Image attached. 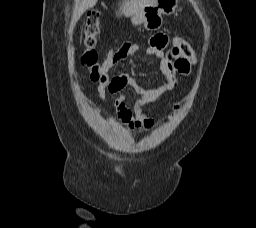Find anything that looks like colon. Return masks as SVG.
Returning a JSON list of instances; mask_svg holds the SVG:
<instances>
[{
	"instance_id": "obj_1",
	"label": "colon",
	"mask_w": 256,
	"mask_h": 228,
	"mask_svg": "<svg viewBox=\"0 0 256 228\" xmlns=\"http://www.w3.org/2000/svg\"><path fill=\"white\" fill-rule=\"evenodd\" d=\"M101 31V21L97 12L88 14L83 30L84 51L81 56V63L87 68L92 80H99L103 75V65L99 62L97 45ZM174 48L189 63L194 64L196 57L191 45L180 37H175L172 41ZM116 50L108 54V58H114Z\"/></svg>"
}]
</instances>
